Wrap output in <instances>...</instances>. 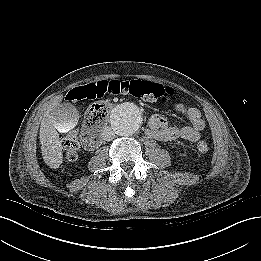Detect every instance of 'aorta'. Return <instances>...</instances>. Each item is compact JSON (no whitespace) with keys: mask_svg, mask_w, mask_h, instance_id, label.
<instances>
[{"mask_svg":"<svg viewBox=\"0 0 261 261\" xmlns=\"http://www.w3.org/2000/svg\"><path fill=\"white\" fill-rule=\"evenodd\" d=\"M143 121L140 107L133 102H124L115 106L110 114V124L119 136L136 133Z\"/></svg>","mask_w":261,"mask_h":261,"instance_id":"obj_1","label":"aorta"}]
</instances>
